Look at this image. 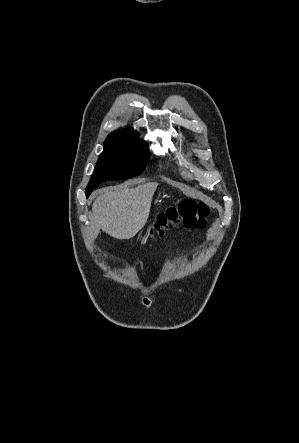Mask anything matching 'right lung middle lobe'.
I'll return each instance as SVG.
<instances>
[{"label":"right lung middle lobe","instance_id":"obj_1","mask_svg":"<svg viewBox=\"0 0 299 443\" xmlns=\"http://www.w3.org/2000/svg\"><path fill=\"white\" fill-rule=\"evenodd\" d=\"M148 160L147 144L141 139L135 136L108 138L86 188L87 197L101 182L139 175Z\"/></svg>","mask_w":299,"mask_h":443}]
</instances>
